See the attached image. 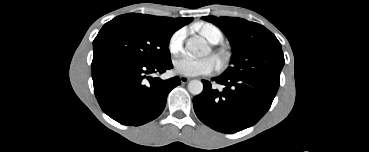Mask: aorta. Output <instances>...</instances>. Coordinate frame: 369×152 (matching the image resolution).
Instances as JSON below:
<instances>
[{"mask_svg": "<svg viewBox=\"0 0 369 152\" xmlns=\"http://www.w3.org/2000/svg\"><path fill=\"white\" fill-rule=\"evenodd\" d=\"M188 53L195 57H201L207 54L208 47L205 41L198 37L189 38L186 42ZM188 91L193 95H199L203 91V83L200 80H191L188 83Z\"/></svg>", "mask_w": 369, "mask_h": 152, "instance_id": "obj_1", "label": "aorta"}]
</instances>
